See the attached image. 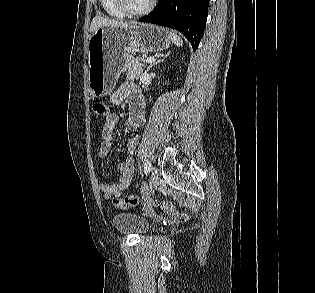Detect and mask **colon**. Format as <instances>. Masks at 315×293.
<instances>
[{
    "mask_svg": "<svg viewBox=\"0 0 315 293\" xmlns=\"http://www.w3.org/2000/svg\"><path fill=\"white\" fill-rule=\"evenodd\" d=\"M93 111L99 117H106L109 114L108 107L103 102H95L93 104ZM112 202L115 207L120 208V209H129L133 206L144 203L151 206L160 207L163 211L167 213H172L175 211V206L169 202L158 201L154 199L143 201L137 195H129L124 198L114 199Z\"/></svg>",
    "mask_w": 315,
    "mask_h": 293,
    "instance_id": "obj_1",
    "label": "colon"
}]
</instances>
